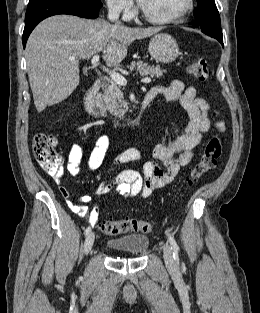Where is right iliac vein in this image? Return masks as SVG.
Wrapping results in <instances>:
<instances>
[{
    "instance_id": "obj_1",
    "label": "right iliac vein",
    "mask_w": 260,
    "mask_h": 313,
    "mask_svg": "<svg viewBox=\"0 0 260 313\" xmlns=\"http://www.w3.org/2000/svg\"><path fill=\"white\" fill-rule=\"evenodd\" d=\"M94 244V233L89 232V234L86 236L85 242H84V251L85 253H89L92 249Z\"/></svg>"
}]
</instances>
